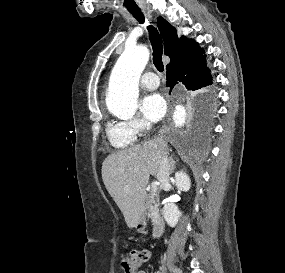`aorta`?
<instances>
[{
	"mask_svg": "<svg viewBox=\"0 0 285 273\" xmlns=\"http://www.w3.org/2000/svg\"><path fill=\"white\" fill-rule=\"evenodd\" d=\"M149 60V51L144 46L126 47L112 69L106 96L108 110L115 116L131 118L137 111L140 76ZM186 112L177 106L174 122L182 126Z\"/></svg>",
	"mask_w": 285,
	"mask_h": 273,
	"instance_id": "762f6f07",
	"label": "aorta"
}]
</instances>
